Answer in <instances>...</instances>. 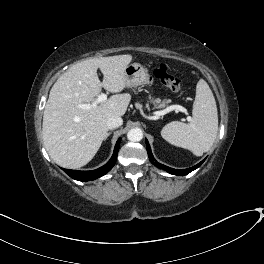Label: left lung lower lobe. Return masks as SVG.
I'll list each match as a JSON object with an SVG mask.
<instances>
[{
  "instance_id": "0a47b994",
  "label": "left lung lower lobe",
  "mask_w": 264,
  "mask_h": 264,
  "mask_svg": "<svg viewBox=\"0 0 264 264\" xmlns=\"http://www.w3.org/2000/svg\"><path fill=\"white\" fill-rule=\"evenodd\" d=\"M146 147H147V153H148V156H149V159L150 161L152 162L153 165L157 166L158 168H161L165 171H167L168 173L170 174H173V175H187L189 174L190 172H192L193 170L197 169L198 167L201 166V164L204 162L201 161L200 163H198L197 165L193 166V167H190V168H187V169H173V168H170V167H167L163 164H160L158 162H156V160L154 159L153 155H152V152H151V149H150V145L148 143V141L146 140Z\"/></svg>"
}]
</instances>
